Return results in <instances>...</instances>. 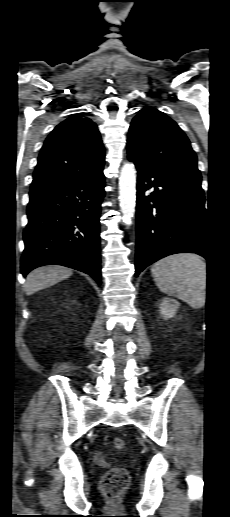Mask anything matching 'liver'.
<instances>
[{
    "label": "liver",
    "mask_w": 230,
    "mask_h": 517,
    "mask_svg": "<svg viewBox=\"0 0 230 517\" xmlns=\"http://www.w3.org/2000/svg\"><path fill=\"white\" fill-rule=\"evenodd\" d=\"M72 273V269L58 265L38 267L27 275L25 292L27 295H32L69 278Z\"/></svg>",
    "instance_id": "6515ba94"
}]
</instances>
